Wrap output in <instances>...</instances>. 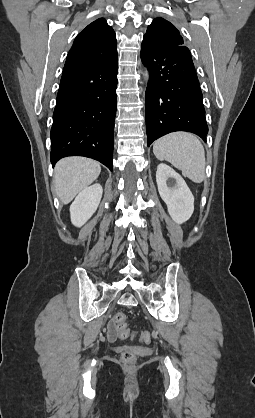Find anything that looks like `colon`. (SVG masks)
Returning <instances> with one entry per match:
<instances>
[{
  "label": "colon",
  "instance_id": "colon-1",
  "mask_svg": "<svg viewBox=\"0 0 255 418\" xmlns=\"http://www.w3.org/2000/svg\"><path fill=\"white\" fill-rule=\"evenodd\" d=\"M114 325L117 329L120 338L125 339L130 336V329L127 326L126 316L124 313H116L114 316ZM141 339L145 343L151 341V335L149 332L144 331L141 334ZM136 354L132 351H125L121 355V360L127 364H133L136 361Z\"/></svg>",
  "mask_w": 255,
  "mask_h": 418
}]
</instances>
